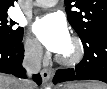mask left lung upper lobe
I'll return each mask as SVG.
<instances>
[{"instance_id":"5c2ea615","label":"left lung upper lobe","mask_w":107,"mask_h":89,"mask_svg":"<svg viewBox=\"0 0 107 89\" xmlns=\"http://www.w3.org/2000/svg\"><path fill=\"white\" fill-rule=\"evenodd\" d=\"M65 4L68 21L81 40L98 29H107V0H65ZM73 6L79 11L71 12Z\"/></svg>"}]
</instances>
